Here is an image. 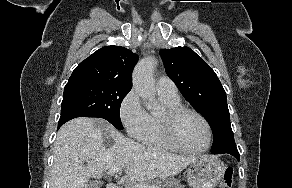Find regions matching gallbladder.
<instances>
[{"instance_id":"bac80fb5","label":"gallbladder","mask_w":292,"mask_h":188,"mask_svg":"<svg viewBox=\"0 0 292 188\" xmlns=\"http://www.w3.org/2000/svg\"><path fill=\"white\" fill-rule=\"evenodd\" d=\"M88 188H101L103 185V182H94V181H88Z\"/></svg>"}]
</instances>
